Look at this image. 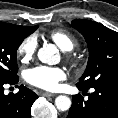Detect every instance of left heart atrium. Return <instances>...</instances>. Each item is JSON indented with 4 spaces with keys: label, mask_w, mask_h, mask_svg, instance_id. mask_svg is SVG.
<instances>
[{
    "label": "left heart atrium",
    "mask_w": 118,
    "mask_h": 118,
    "mask_svg": "<svg viewBox=\"0 0 118 118\" xmlns=\"http://www.w3.org/2000/svg\"><path fill=\"white\" fill-rule=\"evenodd\" d=\"M26 81L38 88L54 91L61 81L66 79V72L61 67L36 66L25 73Z\"/></svg>",
    "instance_id": "1"
}]
</instances>
